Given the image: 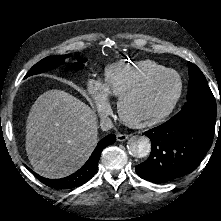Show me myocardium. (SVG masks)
<instances>
[{
	"instance_id": "1",
	"label": "myocardium",
	"mask_w": 221,
	"mask_h": 221,
	"mask_svg": "<svg viewBox=\"0 0 221 221\" xmlns=\"http://www.w3.org/2000/svg\"><path fill=\"white\" fill-rule=\"evenodd\" d=\"M174 75L177 77L178 80V90L171 101L160 111L140 117L133 115L129 110V104L136 99L137 97L144 94L148 91L153 84H155L158 80L168 76ZM183 92V81L181 76L175 71L171 69H166L162 72L156 73L145 80L140 85L130 89L126 93H124L118 103V111L121 119L130 127L133 128H144L154 126L163 122L175 109L176 105L178 104Z\"/></svg>"
}]
</instances>
